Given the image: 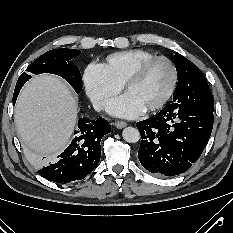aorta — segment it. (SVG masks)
<instances>
[{
    "label": "aorta",
    "mask_w": 233,
    "mask_h": 233,
    "mask_svg": "<svg viewBox=\"0 0 233 233\" xmlns=\"http://www.w3.org/2000/svg\"><path fill=\"white\" fill-rule=\"evenodd\" d=\"M122 137L128 143H136L140 140V133L134 127H126L122 132Z\"/></svg>",
    "instance_id": "obj_1"
}]
</instances>
